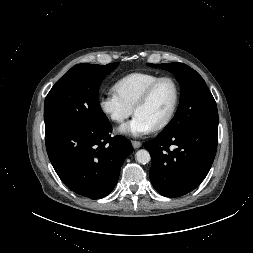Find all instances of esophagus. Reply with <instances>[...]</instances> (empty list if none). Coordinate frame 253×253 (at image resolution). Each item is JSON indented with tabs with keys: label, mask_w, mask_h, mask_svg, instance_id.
Masks as SVG:
<instances>
[{
	"label": "esophagus",
	"mask_w": 253,
	"mask_h": 253,
	"mask_svg": "<svg viewBox=\"0 0 253 253\" xmlns=\"http://www.w3.org/2000/svg\"><path fill=\"white\" fill-rule=\"evenodd\" d=\"M131 143H132L133 148L135 149L140 148L142 145L140 141H135V140L131 141Z\"/></svg>",
	"instance_id": "esophagus-1"
}]
</instances>
